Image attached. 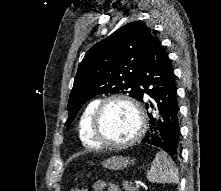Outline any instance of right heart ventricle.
I'll list each match as a JSON object with an SVG mask.
<instances>
[{"label": "right heart ventricle", "mask_w": 221, "mask_h": 191, "mask_svg": "<svg viewBox=\"0 0 221 191\" xmlns=\"http://www.w3.org/2000/svg\"><path fill=\"white\" fill-rule=\"evenodd\" d=\"M98 99H93L87 103L78 121V134L81 143L87 148H99L91 133L92 119L99 104Z\"/></svg>", "instance_id": "obj_1"}]
</instances>
